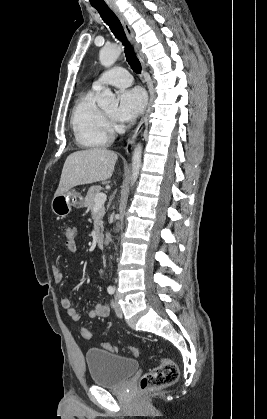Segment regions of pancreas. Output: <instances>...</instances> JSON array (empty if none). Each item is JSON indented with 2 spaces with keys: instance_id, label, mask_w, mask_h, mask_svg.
<instances>
[{
  "instance_id": "pancreas-1",
  "label": "pancreas",
  "mask_w": 267,
  "mask_h": 419,
  "mask_svg": "<svg viewBox=\"0 0 267 419\" xmlns=\"http://www.w3.org/2000/svg\"><path fill=\"white\" fill-rule=\"evenodd\" d=\"M101 191L100 186H91L87 192V195L84 200V205L88 210L93 212L95 204V196ZM105 215V208L102 206L97 213H93L94 218V229L99 234L100 229L102 228V218Z\"/></svg>"
}]
</instances>
